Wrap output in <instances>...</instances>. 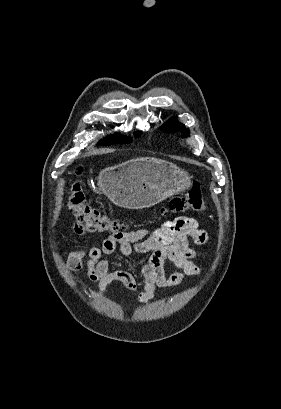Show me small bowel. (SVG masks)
Masks as SVG:
<instances>
[{"label":"small bowel","instance_id":"c3829d8e","mask_svg":"<svg viewBox=\"0 0 281 409\" xmlns=\"http://www.w3.org/2000/svg\"><path fill=\"white\" fill-rule=\"evenodd\" d=\"M75 231L83 234L84 227L78 223ZM191 240L199 245L205 244L207 234L196 219L178 217L155 229L116 232L87 250H75L69 256V266L73 271L85 269L90 281L98 284L100 296L115 282L135 293V276L127 270H110L109 256L116 252L123 256L148 254V260L140 266L143 290L138 296L141 303H147L154 298L157 289L177 286L186 277L199 273V267L193 262L197 252L190 246ZM166 261L173 263L178 271L166 274Z\"/></svg>","mask_w":281,"mask_h":409}]
</instances>
